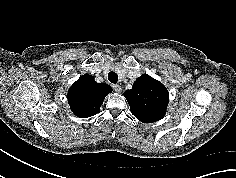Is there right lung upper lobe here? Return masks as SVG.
Wrapping results in <instances>:
<instances>
[{
  "label": "right lung upper lobe",
  "mask_w": 236,
  "mask_h": 178,
  "mask_svg": "<svg viewBox=\"0 0 236 178\" xmlns=\"http://www.w3.org/2000/svg\"><path fill=\"white\" fill-rule=\"evenodd\" d=\"M111 92L110 86L97 83L93 76L85 74L70 87L67 98L76 116L88 118L100 111L104 98Z\"/></svg>",
  "instance_id": "cb5924a9"
}]
</instances>
